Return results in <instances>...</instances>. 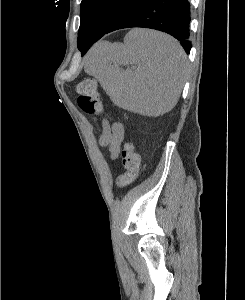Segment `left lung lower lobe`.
<instances>
[{
    "label": "left lung lower lobe",
    "instance_id": "1",
    "mask_svg": "<svg viewBox=\"0 0 245 300\" xmlns=\"http://www.w3.org/2000/svg\"><path fill=\"white\" fill-rule=\"evenodd\" d=\"M190 3L188 0H136L125 9L100 35L87 40L82 56L103 35L123 28L143 27L166 32L176 39L186 53L190 52L189 38Z\"/></svg>",
    "mask_w": 245,
    "mask_h": 300
}]
</instances>
